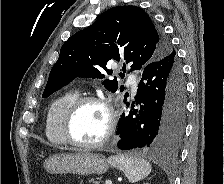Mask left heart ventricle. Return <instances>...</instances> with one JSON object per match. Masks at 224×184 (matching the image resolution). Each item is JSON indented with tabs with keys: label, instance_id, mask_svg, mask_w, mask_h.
Returning a JSON list of instances; mask_svg holds the SVG:
<instances>
[{
	"label": "left heart ventricle",
	"instance_id": "obj_1",
	"mask_svg": "<svg viewBox=\"0 0 224 184\" xmlns=\"http://www.w3.org/2000/svg\"><path fill=\"white\" fill-rule=\"evenodd\" d=\"M107 126L105 109L95 103L83 105L77 112L73 124V137L80 142L92 143L103 137Z\"/></svg>",
	"mask_w": 224,
	"mask_h": 184
}]
</instances>
